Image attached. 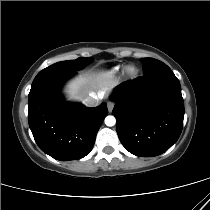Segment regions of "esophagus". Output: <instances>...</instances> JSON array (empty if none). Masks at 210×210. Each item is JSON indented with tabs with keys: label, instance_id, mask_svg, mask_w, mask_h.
Segmentation results:
<instances>
[{
	"label": "esophagus",
	"instance_id": "esophagus-1",
	"mask_svg": "<svg viewBox=\"0 0 210 210\" xmlns=\"http://www.w3.org/2000/svg\"><path fill=\"white\" fill-rule=\"evenodd\" d=\"M107 107H108L109 112H111L114 108V103L111 101L107 102Z\"/></svg>",
	"mask_w": 210,
	"mask_h": 210
}]
</instances>
